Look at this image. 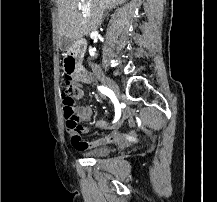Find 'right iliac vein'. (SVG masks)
<instances>
[{
  "mask_svg": "<svg viewBox=\"0 0 217 202\" xmlns=\"http://www.w3.org/2000/svg\"><path fill=\"white\" fill-rule=\"evenodd\" d=\"M97 79L100 80L105 86L112 90L117 96H119L120 91L113 80L108 78L105 74L99 73Z\"/></svg>",
  "mask_w": 217,
  "mask_h": 202,
  "instance_id": "1",
  "label": "right iliac vein"
}]
</instances>
